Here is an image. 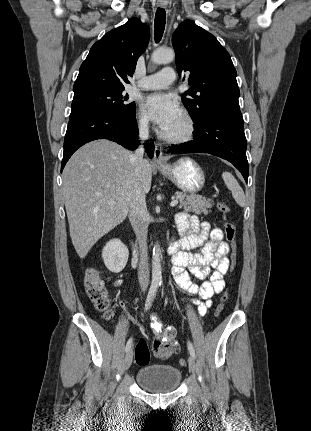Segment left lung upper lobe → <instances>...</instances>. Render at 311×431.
<instances>
[{"mask_svg": "<svg viewBox=\"0 0 311 431\" xmlns=\"http://www.w3.org/2000/svg\"><path fill=\"white\" fill-rule=\"evenodd\" d=\"M172 45L179 75L190 72L191 87L181 99L196 126L217 111L239 109L235 67L212 34L187 20L174 32Z\"/></svg>", "mask_w": 311, "mask_h": 431, "instance_id": "1", "label": "left lung upper lobe"}]
</instances>
